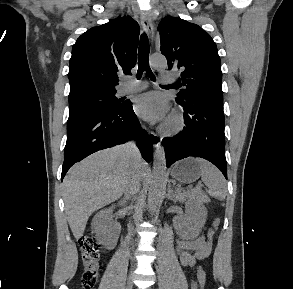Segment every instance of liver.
Here are the masks:
<instances>
[{
    "label": "liver",
    "mask_w": 293,
    "mask_h": 289,
    "mask_svg": "<svg viewBox=\"0 0 293 289\" xmlns=\"http://www.w3.org/2000/svg\"><path fill=\"white\" fill-rule=\"evenodd\" d=\"M133 168L134 160L124 145L96 152L70 168L63 180V198L76 240L83 236L93 212L121 197ZM138 172L143 179L147 165L142 159Z\"/></svg>",
    "instance_id": "obj_1"
}]
</instances>
